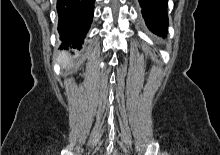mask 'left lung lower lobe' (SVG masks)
Wrapping results in <instances>:
<instances>
[{
	"label": "left lung lower lobe",
	"mask_w": 220,
	"mask_h": 155,
	"mask_svg": "<svg viewBox=\"0 0 220 155\" xmlns=\"http://www.w3.org/2000/svg\"><path fill=\"white\" fill-rule=\"evenodd\" d=\"M167 0H139L142 14L153 33L165 37L168 27Z\"/></svg>",
	"instance_id": "left-lung-lower-lobe-1"
}]
</instances>
